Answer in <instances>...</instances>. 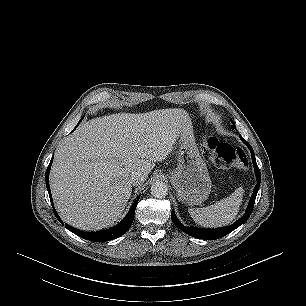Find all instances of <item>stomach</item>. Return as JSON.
<instances>
[{
	"instance_id": "obj_1",
	"label": "stomach",
	"mask_w": 306,
	"mask_h": 306,
	"mask_svg": "<svg viewBox=\"0 0 306 306\" xmlns=\"http://www.w3.org/2000/svg\"><path fill=\"white\" fill-rule=\"evenodd\" d=\"M177 157V168L170 173V181L178 199L189 206L201 204L211 192V180L193 130L180 137Z\"/></svg>"
}]
</instances>
